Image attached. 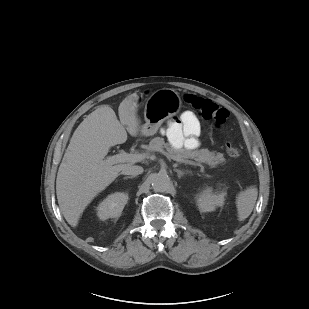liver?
<instances>
[{
    "instance_id": "obj_1",
    "label": "liver",
    "mask_w": 309,
    "mask_h": 309,
    "mask_svg": "<svg viewBox=\"0 0 309 309\" xmlns=\"http://www.w3.org/2000/svg\"><path fill=\"white\" fill-rule=\"evenodd\" d=\"M139 95L132 94L118 108L119 119L109 106L97 108L77 127L64 154L56 178V195L66 221L76 227L85 208L119 173L133 164L107 165L109 149L125 143L127 132L136 136Z\"/></svg>"
}]
</instances>
